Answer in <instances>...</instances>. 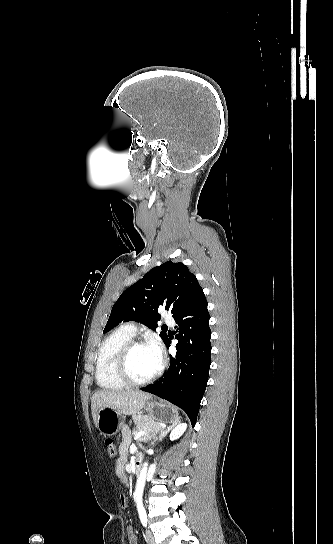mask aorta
<instances>
[{
    "instance_id": "762f6f07",
    "label": "aorta",
    "mask_w": 333,
    "mask_h": 544,
    "mask_svg": "<svg viewBox=\"0 0 333 544\" xmlns=\"http://www.w3.org/2000/svg\"><path fill=\"white\" fill-rule=\"evenodd\" d=\"M147 466H148V463L145 462L138 476L136 489L134 493L136 502H137V507L139 509L143 508L142 497H143V491H144L146 476H147Z\"/></svg>"
}]
</instances>
